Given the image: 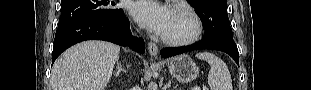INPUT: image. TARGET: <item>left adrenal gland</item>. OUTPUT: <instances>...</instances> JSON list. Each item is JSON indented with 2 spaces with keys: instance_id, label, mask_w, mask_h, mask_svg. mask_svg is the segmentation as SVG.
I'll return each mask as SVG.
<instances>
[{
  "instance_id": "left-adrenal-gland-1",
  "label": "left adrenal gland",
  "mask_w": 311,
  "mask_h": 90,
  "mask_svg": "<svg viewBox=\"0 0 311 90\" xmlns=\"http://www.w3.org/2000/svg\"><path fill=\"white\" fill-rule=\"evenodd\" d=\"M171 85V81L168 82V84L165 85V90H167V88H169Z\"/></svg>"
}]
</instances>
